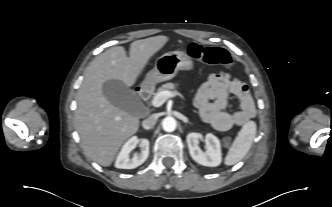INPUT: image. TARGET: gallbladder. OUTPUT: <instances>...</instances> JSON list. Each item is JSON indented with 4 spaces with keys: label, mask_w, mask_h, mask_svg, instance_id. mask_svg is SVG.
<instances>
[{
    "label": "gallbladder",
    "mask_w": 332,
    "mask_h": 207,
    "mask_svg": "<svg viewBox=\"0 0 332 207\" xmlns=\"http://www.w3.org/2000/svg\"><path fill=\"white\" fill-rule=\"evenodd\" d=\"M105 98L115 107L137 116L143 105L139 97L119 80H107L102 87Z\"/></svg>",
    "instance_id": "bac80fb5"
}]
</instances>
